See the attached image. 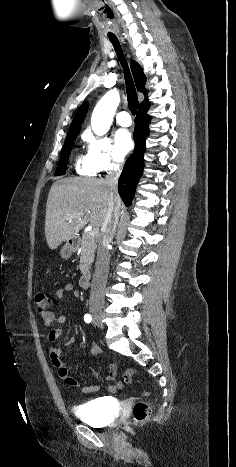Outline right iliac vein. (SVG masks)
Returning a JSON list of instances; mask_svg holds the SVG:
<instances>
[{"label": "right iliac vein", "mask_w": 236, "mask_h": 467, "mask_svg": "<svg viewBox=\"0 0 236 467\" xmlns=\"http://www.w3.org/2000/svg\"><path fill=\"white\" fill-rule=\"evenodd\" d=\"M92 316H93L94 322L102 328L103 324H102V321H101V313L97 312V311H94V312H92Z\"/></svg>", "instance_id": "obj_1"}]
</instances>
